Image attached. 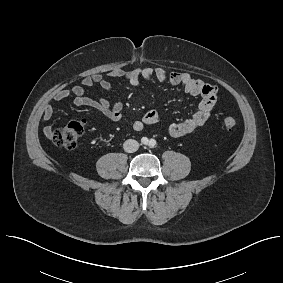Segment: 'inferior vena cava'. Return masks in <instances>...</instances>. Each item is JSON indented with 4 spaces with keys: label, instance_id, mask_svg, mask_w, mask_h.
Here are the masks:
<instances>
[{
    "label": "inferior vena cava",
    "instance_id": "inferior-vena-cava-1",
    "mask_svg": "<svg viewBox=\"0 0 283 283\" xmlns=\"http://www.w3.org/2000/svg\"><path fill=\"white\" fill-rule=\"evenodd\" d=\"M123 148L127 153H133L138 150L139 143L134 139H128L124 142Z\"/></svg>",
    "mask_w": 283,
    "mask_h": 283
}]
</instances>
